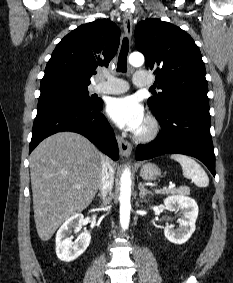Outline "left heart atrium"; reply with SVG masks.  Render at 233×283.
I'll use <instances>...</instances> for the list:
<instances>
[{
  "instance_id": "obj_1",
  "label": "left heart atrium",
  "mask_w": 233,
  "mask_h": 283,
  "mask_svg": "<svg viewBox=\"0 0 233 283\" xmlns=\"http://www.w3.org/2000/svg\"><path fill=\"white\" fill-rule=\"evenodd\" d=\"M106 113L117 126L129 131L137 132L145 121L143 107L134 96L110 99Z\"/></svg>"
}]
</instances>
